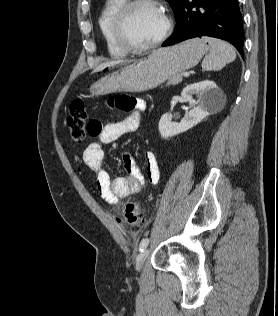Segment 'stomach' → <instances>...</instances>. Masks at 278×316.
I'll return each instance as SVG.
<instances>
[{"label":"stomach","instance_id":"stomach-1","mask_svg":"<svg viewBox=\"0 0 278 316\" xmlns=\"http://www.w3.org/2000/svg\"><path fill=\"white\" fill-rule=\"evenodd\" d=\"M207 51L206 44L198 38L156 49L148 56L102 77L91 85L90 92L101 95L153 89L170 77L196 66Z\"/></svg>","mask_w":278,"mask_h":316}]
</instances>
